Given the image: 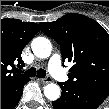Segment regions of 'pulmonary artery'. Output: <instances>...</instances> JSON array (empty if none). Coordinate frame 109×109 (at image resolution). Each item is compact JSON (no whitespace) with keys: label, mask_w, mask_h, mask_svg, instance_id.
I'll return each mask as SVG.
<instances>
[{"label":"pulmonary artery","mask_w":109,"mask_h":109,"mask_svg":"<svg viewBox=\"0 0 109 109\" xmlns=\"http://www.w3.org/2000/svg\"><path fill=\"white\" fill-rule=\"evenodd\" d=\"M48 68H49V72L51 76L56 77L57 79L61 81L67 80L63 72L62 61H61L60 55L56 54L51 57Z\"/></svg>","instance_id":"1"}]
</instances>
